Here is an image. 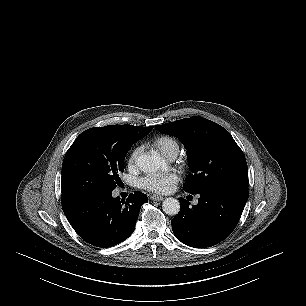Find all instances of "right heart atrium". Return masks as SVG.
I'll return each mask as SVG.
<instances>
[{
    "mask_svg": "<svg viewBox=\"0 0 306 306\" xmlns=\"http://www.w3.org/2000/svg\"><path fill=\"white\" fill-rule=\"evenodd\" d=\"M142 153V147L138 146L136 148H134L129 157H128V165L131 168H135L139 159V156Z\"/></svg>",
    "mask_w": 306,
    "mask_h": 306,
    "instance_id": "obj_1",
    "label": "right heart atrium"
}]
</instances>
